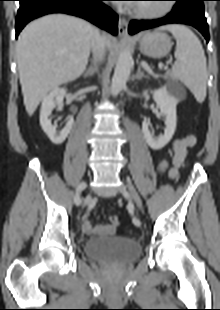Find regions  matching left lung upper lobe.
Here are the masks:
<instances>
[{
	"mask_svg": "<svg viewBox=\"0 0 220 310\" xmlns=\"http://www.w3.org/2000/svg\"><path fill=\"white\" fill-rule=\"evenodd\" d=\"M180 4H188L191 3L194 6H197L201 9H204L203 1L205 0H178Z\"/></svg>",
	"mask_w": 220,
	"mask_h": 310,
	"instance_id": "left-lung-upper-lobe-1",
	"label": "left lung upper lobe"
}]
</instances>
